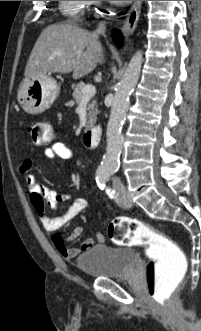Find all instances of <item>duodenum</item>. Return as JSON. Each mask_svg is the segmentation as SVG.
Wrapping results in <instances>:
<instances>
[{"label":"duodenum","mask_w":201,"mask_h":331,"mask_svg":"<svg viewBox=\"0 0 201 331\" xmlns=\"http://www.w3.org/2000/svg\"><path fill=\"white\" fill-rule=\"evenodd\" d=\"M102 129L97 126H91L83 134V141L90 148H97L101 142Z\"/></svg>","instance_id":"1"}]
</instances>
